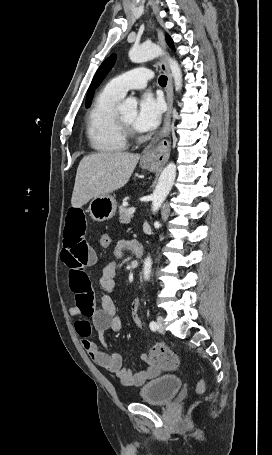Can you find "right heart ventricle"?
<instances>
[{"mask_svg": "<svg viewBox=\"0 0 272 455\" xmlns=\"http://www.w3.org/2000/svg\"><path fill=\"white\" fill-rule=\"evenodd\" d=\"M121 98L106 87L96 96L87 113L86 136L96 152L119 153L127 148L116 123V107Z\"/></svg>", "mask_w": 272, "mask_h": 455, "instance_id": "right-heart-ventricle-1", "label": "right heart ventricle"}]
</instances>
